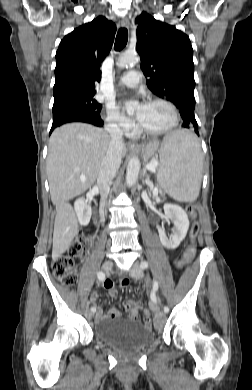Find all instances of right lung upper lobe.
<instances>
[{"instance_id":"1","label":"right lung upper lobe","mask_w":252,"mask_h":390,"mask_svg":"<svg viewBox=\"0 0 252 390\" xmlns=\"http://www.w3.org/2000/svg\"><path fill=\"white\" fill-rule=\"evenodd\" d=\"M116 25L99 16L61 40L56 52L54 101L77 95H95L100 65L109 53Z\"/></svg>"}]
</instances>
